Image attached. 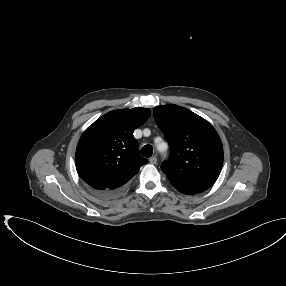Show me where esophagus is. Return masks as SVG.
<instances>
[{"label":"esophagus","mask_w":286,"mask_h":286,"mask_svg":"<svg viewBox=\"0 0 286 286\" xmlns=\"http://www.w3.org/2000/svg\"><path fill=\"white\" fill-rule=\"evenodd\" d=\"M149 162L151 164H156L157 163V157L156 156H152L150 159H149Z\"/></svg>","instance_id":"34e87169"}]
</instances>
